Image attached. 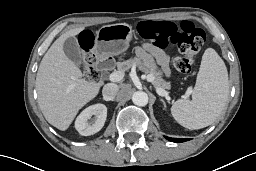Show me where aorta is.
<instances>
[{
	"label": "aorta",
	"instance_id": "762f6f07",
	"mask_svg": "<svg viewBox=\"0 0 256 171\" xmlns=\"http://www.w3.org/2000/svg\"><path fill=\"white\" fill-rule=\"evenodd\" d=\"M132 101L137 106H146L148 103V95L144 91H136L132 96Z\"/></svg>",
	"mask_w": 256,
	"mask_h": 171
}]
</instances>
